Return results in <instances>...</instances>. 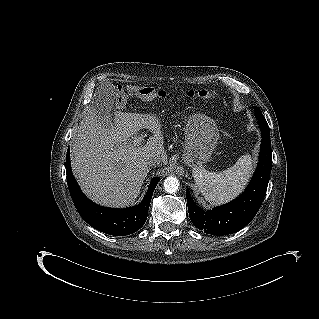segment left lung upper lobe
Listing matches in <instances>:
<instances>
[{
  "label": "left lung upper lobe",
  "instance_id": "5c2ea615",
  "mask_svg": "<svg viewBox=\"0 0 319 319\" xmlns=\"http://www.w3.org/2000/svg\"><path fill=\"white\" fill-rule=\"evenodd\" d=\"M255 114H256L257 118L265 119L263 114H262V112H261V110L258 107L255 108Z\"/></svg>",
  "mask_w": 319,
  "mask_h": 319
}]
</instances>
